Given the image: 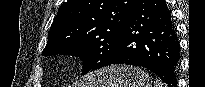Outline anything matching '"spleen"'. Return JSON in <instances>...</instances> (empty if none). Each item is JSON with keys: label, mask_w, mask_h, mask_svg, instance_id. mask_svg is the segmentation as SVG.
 <instances>
[{"label": "spleen", "mask_w": 205, "mask_h": 87, "mask_svg": "<svg viewBox=\"0 0 205 87\" xmlns=\"http://www.w3.org/2000/svg\"><path fill=\"white\" fill-rule=\"evenodd\" d=\"M154 87H163V84L159 80H155Z\"/></svg>", "instance_id": "spleen-1"}]
</instances>
